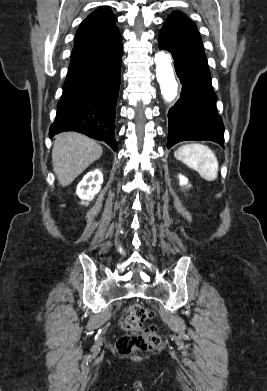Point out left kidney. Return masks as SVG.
I'll use <instances>...</instances> for the list:
<instances>
[{"label": "left kidney", "mask_w": 267, "mask_h": 391, "mask_svg": "<svg viewBox=\"0 0 267 391\" xmlns=\"http://www.w3.org/2000/svg\"><path fill=\"white\" fill-rule=\"evenodd\" d=\"M178 178H179V182H180V185H181V186L187 185L188 179H187L185 176H183V175L180 174V175L178 176Z\"/></svg>", "instance_id": "1"}]
</instances>
